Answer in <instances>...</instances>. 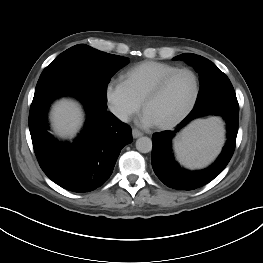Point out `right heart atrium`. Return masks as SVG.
Masks as SVG:
<instances>
[{
  "label": "right heart atrium",
  "instance_id": "right-heart-atrium-1",
  "mask_svg": "<svg viewBox=\"0 0 263 263\" xmlns=\"http://www.w3.org/2000/svg\"><path fill=\"white\" fill-rule=\"evenodd\" d=\"M104 96L109 111L121 122H127L141 108V102L121 79H110L105 85Z\"/></svg>",
  "mask_w": 263,
  "mask_h": 263
}]
</instances>
